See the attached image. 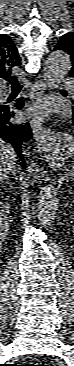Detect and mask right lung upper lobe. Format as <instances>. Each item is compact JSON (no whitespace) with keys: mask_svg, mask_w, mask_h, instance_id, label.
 Returning a JSON list of instances; mask_svg holds the SVG:
<instances>
[{"mask_svg":"<svg viewBox=\"0 0 74 366\" xmlns=\"http://www.w3.org/2000/svg\"><path fill=\"white\" fill-rule=\"evenodd\" d=\"M21 64V58L12 40L6 34H0V81L11 74L15 66Z\"/></svg>","mask_w":74,"mask_h":366,"instance_id":"obj_1","label":"right lung upper lobe"}]
</instances>
